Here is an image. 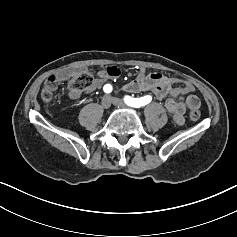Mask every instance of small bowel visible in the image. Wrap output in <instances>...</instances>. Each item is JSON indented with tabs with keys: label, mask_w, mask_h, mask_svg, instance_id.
<instances>
[{
	"label": "small bowel",
	"mask_w": 237,
	"mask_h": 237,
	"mask_svg": "<svg viewBox=\"0 0 237 237\" xmlns=\"http://www.w3.org/2000/svg\"><path fill=\"white\" fill-rule=\"evenodd\" d=\"M74 72L73 69L60 71L57 75V81L61 83L69 80ZM120 75V68L103 66L98 71L90 88L81 92L69 90V96L77 99L83 93L99 89ZM124 90L131 93L148 91L157 100L165 99V108L173 116L177 125L184 123L187 109L194 110L200 106L198 97L192 94L195 91V86L190 81L167 77L159 73L146 74L144 70H141L135 79L124 85Z\"/></svg>",
	"instance_id": "small-bowel-1"
}]
</instances>
